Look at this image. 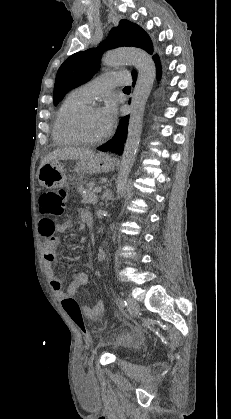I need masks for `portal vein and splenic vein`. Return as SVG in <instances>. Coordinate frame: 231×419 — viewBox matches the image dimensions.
Instances as JSON below:
<instances>
[{
  "instance_id": "18ae733b",
  "label": "portal vein and splenic vein",
  "mask_w": 231,
  "mask_h": 419,
  "mask_svg": "<svg viewBox=\"0 0 231 419\" xmlns=\"http://www.w3.org/2000/svg\"><path fill=\"white\" fill-rule=\"evenodd\" d=\"M94 192L95 193H100L101 192V187H95Z\"/></svg>"
}]
</instances>
